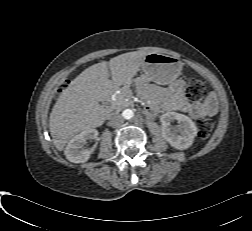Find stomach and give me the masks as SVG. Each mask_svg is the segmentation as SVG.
<instances>
[{"label":"stomach","instance_id":"0dacf381","mask_svg":"<svg viewBox=\"0 0 252 231\" xmlns=\"http://www.w3.org/2000/svg\"><path fill=\"white\" fill-rule=\"evenodd\" d=\"M142 71L144 74L136 83L138 88L148 81L172 86L177 76V64L170 56L150 53L143 60Z\"/></svg>","mask_w":252,"mask_h":231}]
</instances>
